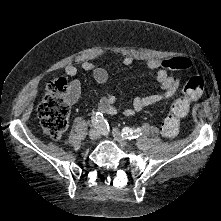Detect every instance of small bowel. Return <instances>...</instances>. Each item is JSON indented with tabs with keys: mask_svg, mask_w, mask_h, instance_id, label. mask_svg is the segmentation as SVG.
I'll use <instances>...</instances> for the list:
<instances>
[{
	"mask_svg": "<svg viewBox=\"0 0 221 221\" xmlns=\"http://www.w3.org/2000/svg\"><path fill=\"white\" fill-rule=\"evenodd\" d=\"M133 61V57L126 56L122 59L121 65L129 66ZM161 63L162 61L159 59H149L146 62V68L151 71H156V80L162 91L156 94L136 97L130 107H126L122 110L125 116H133L135 113L149 106L167 101L176 95L181 81L174 74L162 68ZM80 66L83 70L92 72L93 78L97 83L104 84L107 82L108 71L104 67L89 61L82 62ZM64 70L65 73L71 77L77 74V68L74 65H67ZM70 86L72 93L70 101L74 102L80 93L81 85L78 80H73ZM98 111L107 115H115L118 112L115 96L111 94L102 96L98 103Z\"/></svg>",
	"mask_w": 221,
	"mask_h": 221,
	"instance_id": "small-bowel-1",
	"label": "small bowel"
}]
</instances>
